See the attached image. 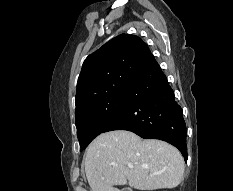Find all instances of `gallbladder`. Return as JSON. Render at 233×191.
<instances>
[{
  "instance_id": "obj_1",
  "label": "gallbladder",
  "mask_w": 233,
  "mask_h": 191,
  "mask_svg": "<svg viewBox=\"0 0 233 191\" xmlns=\"http://www.w3.org/2000/svg\"><path fill=\"white\" fill-rule=\"evenodd\" d=\"M121 191H132V190L130 188H125V189H123Z\"/></svg>"
}]
</instances>
